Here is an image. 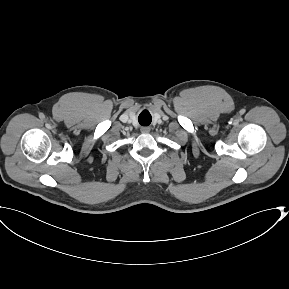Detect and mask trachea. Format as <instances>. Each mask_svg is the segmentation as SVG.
<instances>
[{
    "label": "trachea",
    "instance_id": "1",
    "mask_svg": "<svg viewBox=\"0 0 289 289\" xmlns=\"http://www.w3.org/2000/svg\"><path fill=\"white\" fill-rule=\"evenodd\" d=\"M151 115L148 111H143L139 117H138V121L141 125L147 126L151 123Z\"/></svg>",
    "mask_w": 289,
    "mask_h": 289
}]
</instances>
